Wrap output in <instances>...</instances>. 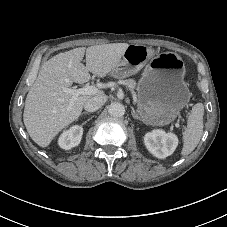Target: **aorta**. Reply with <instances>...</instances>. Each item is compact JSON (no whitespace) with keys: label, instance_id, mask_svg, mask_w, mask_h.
Wrapping results in <instances>:
<instances>
[{"label":"aorta","instance_id":"aorta-1","mask_svg":"<svg viewBox=\"0 0 227 227\" xmlns=\"http://www.w3.org/2000/svg\"><path fill=\"white\" fill-rule=\"evenodd\" d=\"M108 112L113 117H121L125 113V108L121 103L113 102L110 104Z\"/></svg>","mask_w":227,"mask_h":227}]
</instances>
